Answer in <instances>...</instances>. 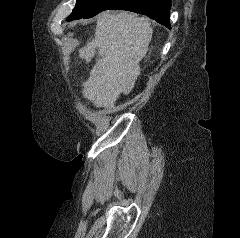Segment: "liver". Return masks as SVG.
<instances>
[{"label":"liver","instance_id":"obj_1","mask_svg":"<svg viewBox=\"0 0 240 238\" xmlns=\"http://www.w3.org/2000/svg\"><path fill=\"white\" fill-rule=\"evenodd\" d=\"M151 38L152 29L145 18L125 11L100 13L94 39L79 50L86 63L98 54L88 80L82 84L83 97L96 107L109 109L121 93L129 94L140 75L139 62Z\"/></svg>","mask_w":240,"mask_h":238}]
</instances>
